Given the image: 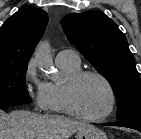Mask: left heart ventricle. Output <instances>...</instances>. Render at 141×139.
Returning a JSON list of instances; mask_svg holds the SVG:
<instances>
[{"mask_svg":"<svg viewBox=\"0 0 141 139\" xmlns=\"http://www.w3.org/2000/svg\"><path fill=\"white\" fill-rule=\"evenodd\" d=\"M76 102L82 113L101 116L109 108L110 93L102 80L88 76L76 88Z\"/></svg>","mask_w":141,"mask_h":139,"instance_id":"left-heart-ventricle-1","label":"left heart ventricle"}]
</instances>
